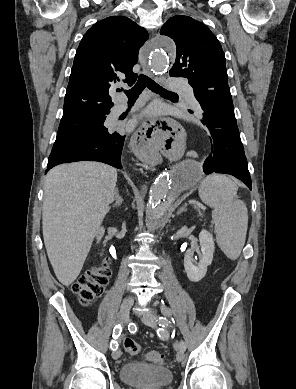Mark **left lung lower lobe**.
<instances>
[{"mask_svg": "<svg viewBox=\"0 0 296 389\" xmlns=\"http://www.w3.org/2000/svg\"><path fill=\"white\" fill-rule=\"evenodd\" d=\"M202 122L208 129L211 151L203 170L206 174L224 173L235 176L251 189L248 163L241 143L229 88L201 93L198 99Z\"/></svg>", "mask_w": 296, "mask_h": 389, "instance_id": "0a47b994", "label": "left lung lower lobe"}]
</instances>
